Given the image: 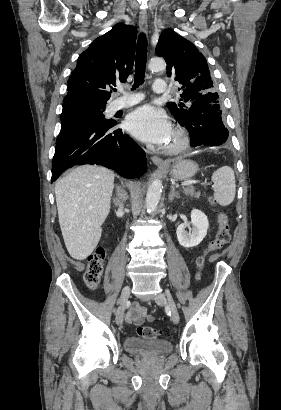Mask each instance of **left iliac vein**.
Here are the masks:
<instances>
[{
	"label": "left iliac vein",
	"instance_id": "obj_1",
	"mask_svg": "<svg viewBox=\"0 0 281 410\" xmlns=\"http://www.w3.org/2000/svg\"><path fill=\"white\" fill-rule=\"evenodd\" d=\"M168 299H169V302H168L166 296L162 293L158 294L154 298L155 302L159 306H167V305L169 306L170 311H171V319H172L174 324H178L179 320H180V316H179V313H178V311H177V309H176V307H175V305L172 301V297L170 296V294H168Z\"/></svg>",
	"mask_w": 281,
	"mask_h": 410
}]
</instances>
